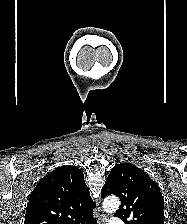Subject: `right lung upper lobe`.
Masks as SVG:
<instances>
[{
    "label": "right lung upper lobe",
    "instance_id": "obj_1",
    "mask_svg": "<svg viewBox=\"0 0 187 224\" xmlns=\"http://www.w3.org/2000/svg\"><path fill=\"white\" fill-rule=\"evenodd\" d=\"M96 204L82 171L64 165L46 175L32 191L24 224H90Z\"/></svg>",
    "mask_w": 187,
    "mask_h": 224
}]
</instances>
